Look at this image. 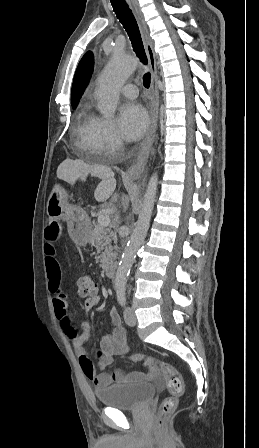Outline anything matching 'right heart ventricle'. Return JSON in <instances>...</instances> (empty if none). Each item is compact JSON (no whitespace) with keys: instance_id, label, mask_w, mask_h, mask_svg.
Returning <instances> with one entry per match:
<instances>
[{"instance_id":"e07e8e85","label":"right heart ventricle","mask_w":259,"mask_h":448,"mask_svg":"<svg viewBox=\"0 0 259 448\" xmlns=\"http://www.w3.org/2000/svg\"><path fill=\"white\" fill-rule=\"evenodd\" d=\"M101 118L94 111L92 105L85 101L79 108L76 117L74 130L78 144L87 150L79 156H85V163H100L104 159L97 152V131Z\"/></svg>"}]
</instances>
